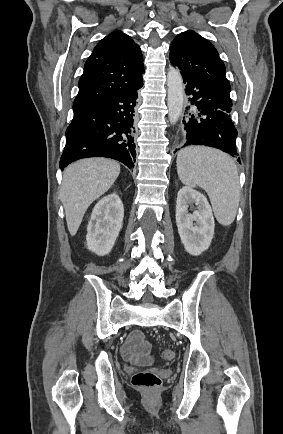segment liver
Wrapping results in <instances>:
<instances>
[{
    "mask_svg": "<svg viewBox=\"0 0 283 434\" xmlns=\"http://www.w3.org/2000/svg\"><path fill=\"white\" fill-rule=\"evenodd\" d=\"M119 174L120 165L105 158L82 159L64 170L60 200L72 236L90 204L110 189Z\"/></svg>",
    "mask_w": 283,
    "mask_h": 434,
    "instance_id": "6515ba94",
    "label": "liver"
}]
</instances>
